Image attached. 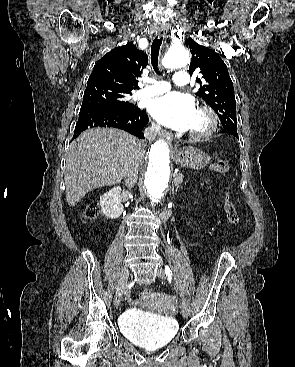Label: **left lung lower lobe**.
Listing matches in <instances>:
<instances>
[{
	"label": "left lung lower lobe",
	"mask_w": 295,
	"mask_h": 367,
	"mask_svg": "<svg viewBox=\"0 0 295 367\" xmlns=\"http://www.w3.org/2000/svg\"><path fill=\"white\" fill-rule=\"evenodd\" d=\"M223 133H227V134H230V135H233L235 136L236 138L239 139L238 137V133H237V130L233 129V128H225L222 130Z\"/></svg>",
	"instance_id": "left-lung-lower-lobe-1"
}]
</instances>
